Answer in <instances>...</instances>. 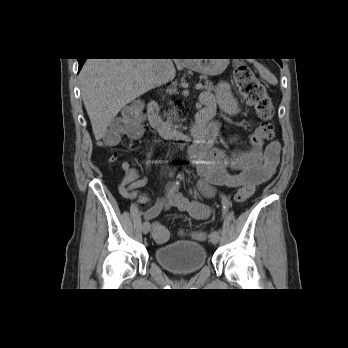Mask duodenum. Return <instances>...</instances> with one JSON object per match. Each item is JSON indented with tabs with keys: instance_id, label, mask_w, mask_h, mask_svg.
I'll return each instance as SVG.
<instances>
[{
	"instance_id": "1",
	"label": "duodenum",
	"mask_w": 348,
	"mask_h": 348,
	"mask_svg": "<svg viewBox=\"0 0 348 348\" xmlns=\"http://www.w3.org/2000/svg\"><path fill=\"white\" fill-rule=\"evenodd\" d=\"M159 110L158 102H149L147 106L149 123L161 136L167 139L192 141L194 143L193 147L198 149H206L208 147L214 137L210 129L215 111L213 107H203L198 112L196 124L190 132H182L173 128L160 117Z\"/></svg>"
}]
</instances>
